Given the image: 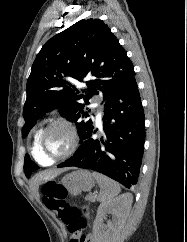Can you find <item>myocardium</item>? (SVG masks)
Returning <instances> with one entry per match:
<instances>
[{
    "instance_id": "myocardium-1",
    "label": "myocardium",
    "mask_w": 187,
    "mask_h": 242,
    "mask_svg": "<svg viewBox=\"0 0 187 242\" xmlns=\"http://www.w3.org/2000/svg\"><path fill=\"white\" fill-rule=\"evenodd\" d=\"M56 126H61L68 130L69 135H70V146L67 149V151L64 152L63 154H60L57 156H51L45 152L44 147H43V141H44L47 133L53 127H56ZM78 145H79V134H78V130H77L75 124L72 121H70L66 118H63V117L56 118V119L52 120L51 122H49L47 124V126L45 128H43V130L41 131L39 140H38V147H39L41 154L51 162L63 160V159L70 157L76 151V149L78 148Z\"/></svg>"
}]
</instances>
